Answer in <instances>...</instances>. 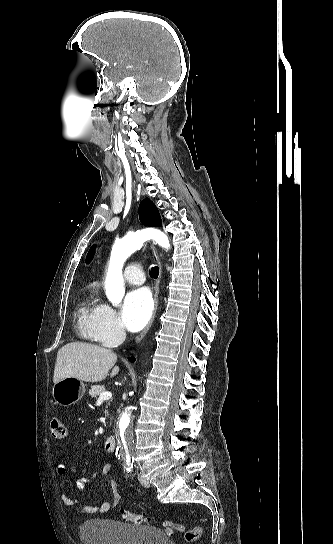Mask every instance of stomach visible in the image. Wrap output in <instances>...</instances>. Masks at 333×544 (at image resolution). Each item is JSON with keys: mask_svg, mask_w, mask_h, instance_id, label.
Here are the masks:
<instances>
[{"mask_svg": "<svg viewBox=\"0 0 333 544\" xmlns=\"http://www.w3.org/2000/svg\"><path fill=\"white\" fill-rule=\"evenodd\" d=\"M85 385L82 380L75 377H66L53 387V398L56 403L62 406L75 404L84 396Z\"/></svg>", "mask_w": 333, "mask_h": 544, "instance_id": "stomach-1", "label": "stomach"}]
</instances>
